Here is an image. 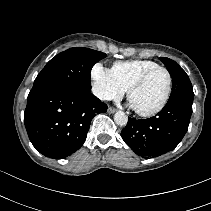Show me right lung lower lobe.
I'll list each match as a JSON object with an SVG mask.
<instances>
[{
  "mask_svg": "<svg viewBox=\"0 0 211 211\" xmlns=\"http://www.w3.org/2000/svg\"><path fill=\"white\" fill-rule=\"evenodd\" d=\"M106 111L107 105L91 92L42 86L28 95L24 123L38 152L61 159L82 146L92 118Z\"/></svg>",
  "mask_w": 211,
  "mask_h": 211,
  "instance_id": "obj_1",
  "label": "right lung lower lobe"
}]
</instances>
